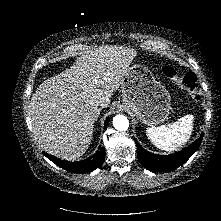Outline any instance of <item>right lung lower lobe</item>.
I'll return each mask as SVG.
<instances>
[{
  "instance_id": "98d812e1",
  "label": "right lung lower lobe",
  "mask_w": 221,
  "mask_h": 221,
  "mask_svg": "<svg viewBox=\"0 0 221 221\" xmlns=\"http://www.w3.org/2000/svg\"><path fill=\"white\" fill-rule=\"evenodd\" d=\"M109 121L110 118H107L105 120L104 127H107ZM44 155L59 167H62L63 169L70 172L82 174V173L91 172L102 165L105 159V149L104 147L99 146L97 152L94 155L79 162L78 161L68 162L65 160H60L46 153H44Z\"/></svg>"
}]
</instances>
